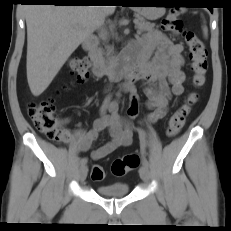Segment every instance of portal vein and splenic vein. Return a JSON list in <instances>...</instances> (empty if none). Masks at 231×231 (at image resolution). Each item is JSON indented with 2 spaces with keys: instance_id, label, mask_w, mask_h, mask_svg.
Wrapping results in <instances>:
<instances>
[{
  "instance_id": "18ae733b",
  "label": "portal vein and splenic vein",
  "mask_w": 231,
  "mask_h": 231,
  "mask_svg": "<svg viewBox=\"0 0 231 231\" xmlns=\"http://www.w3.org/2000/svg\"><path fill=\"white\" fill-rule=\"evenodd\" d=\"M134 23L137 25L138 24V20H135Z\"/></svg>"
}]
</instances>
